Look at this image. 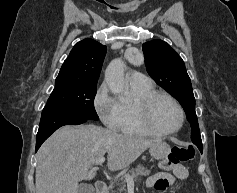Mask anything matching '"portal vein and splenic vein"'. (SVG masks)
Wrapping results in <instances>:
<instances>
[{"label":"portal vein and splenic vein","mask_w":237,"mask_h":193,"mask_svg":"<svg viewBox=\"0 0 237 193\" xmlns=\"http://www.w3.org/2000/svg\"><path fill=\"white\" fill-rule=\"evenodd\" d=\"M105 161V157L102 156L101 158H99L96 162H94V165H100L102 164L103 162ZM125 177V180L128 182V183H134V179L133 177L131 176H124Z\"/></svg>","instance_id":"1"}]
</instances>
